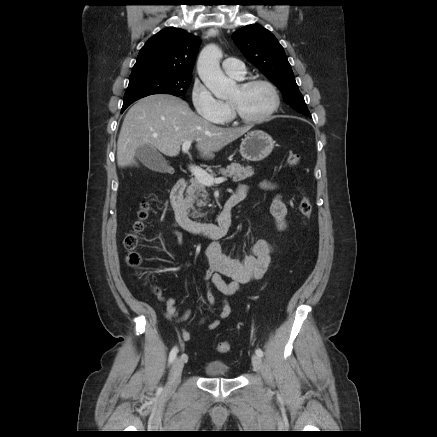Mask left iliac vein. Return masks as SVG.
Instances as JSON below:
<instances>
[{
    "mask_svg": "<svg viewBox=\"0 0 437 437\" xmlns=\"http://www.w3.org/2000/svg\"><path fill=\"white\" fill-rule=\"evenodd\" d=\"M252 365L255 371L260 372L262 370V359L257 354L252 356Z\"/></svg>",
    "mask_w": 437,
    "mask_h": 437,
    "instance_id": "4c4485c4",
    "label": "left iliac vein"
}]
</instances>
